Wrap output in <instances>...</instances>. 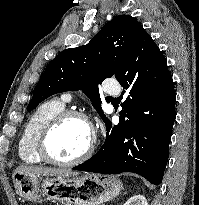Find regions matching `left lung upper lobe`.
Segmentation results:
<instances>
[{"label": "left lung upper lobe", "mask_w": 199, "mask_h": 205, "mask_svg": "<svg viewBox=\"0 0 199 205\" xmlns=\"http://www.w3.org/2000/svg\"><path fill=\"white\" fill-rule=\"evenodd\" d=\"M143 26L129 15L115 16L84 46L62 51L46 67L35 86L28 111L51 95L82 89L103 121L98 84L119 76L120 69L138 41Z\"/></svg>", "instance_id": "obj_1"}]
</instances>
